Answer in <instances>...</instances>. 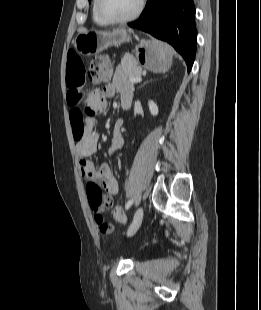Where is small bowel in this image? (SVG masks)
<instances>
[{"label":"small bowel","mask_w":261,"mask_h":310,"mask_svg":"<svg viewBox=\"0 0 261 310\" xmlns=\"http://www.w3.org/2000/svg\"><path fill=\"white\" fill-rule=\"evenodd\" d=\"M85 85V67L79 55L73 51L68 53L66 66V87L68 100L71 105L70 121L75 138V146L79 158V169L85 180L90 183L101 185L108 193L106 204L93 209L95 214H101L112 206V196L119 191L117 179L110 165L103 164L99 169L90 157L95 153L98 141V133L95 129L94 116L103 113L107 107V98L120 93L121 99L129 97L132 99V86L125 80L124 69L118 67L114 73L111 83L103 89L92 91L88 99V107L84 114L77 106L78 99ZM122 120L114 124L110 154L119 150L123 144Z\"/></svg>","instance_id":"1"}]
</instances>
